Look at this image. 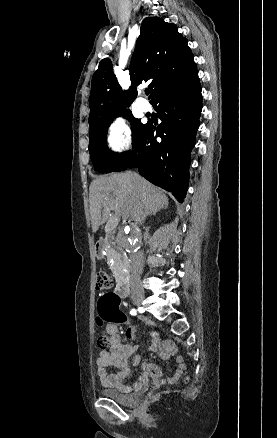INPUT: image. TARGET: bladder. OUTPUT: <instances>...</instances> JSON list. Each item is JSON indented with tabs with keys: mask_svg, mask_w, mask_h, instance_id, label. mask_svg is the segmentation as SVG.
<instances>
[{
	"mask_svg": "<svg viewBox=\"0 0 277 438\" xmlns=\"http://www.w3.org/2000/svg\"><path fill=\"white\" fill-rule=\"evenodd\" d=\"M100 395L104 396L106 400L120 405H132L136 401L134 392L125 393L119 388H103L100 390Z\"/></svg>",
	"mask_w": 277,
	"mask_h": 438,
	"instance_id": "bladder-1",
	"label": "bladder"
}]
</instances>
